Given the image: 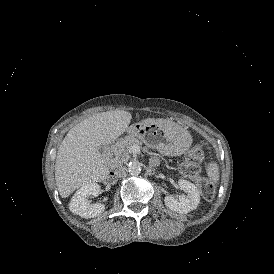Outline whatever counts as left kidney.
I'll return each instance as SVG.
<instances>
[{"label":"left kidney","instance_id":"obj_1","mask_svg":"<svg viewBox=\"0 0 274 274\" xmlns=\"http://www.w3.org/2000/svg\"><path fill=\"white\" fill-rule=\"evenodd\" d=\"M178 184L180 189L187 195L182 194L178 199L169 195L165 197L164 202L170 210L180 214H187L197 208L200 202V194L197 187L187 180L180 179Z\"/></svg>","mask_w":274,"mask_h":274}]
</instances>
